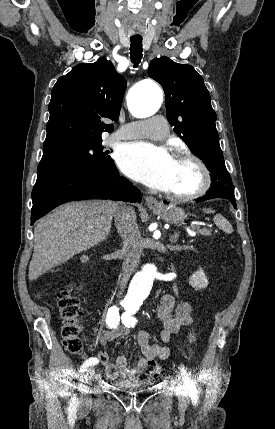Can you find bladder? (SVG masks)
<instances>
[{"mask_svg": "<svg viewBox=\"0 0 275 429\" xmlns=\"http://www.w3.org/2000/svg\"><path fill=\"white\" fill-rule=\"evenodd\" d=\"M114 385L122 388L123 393H138L139 387L144 386L141 378H120Z\"/></svg>", "mask_w": 275, "mask_h": 429, "instance_id": "31cf9c89", "label": "bladder"}]
</instances>
